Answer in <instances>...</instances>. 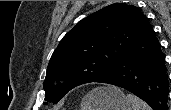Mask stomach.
<instances>
[{
  "instance_id": "1",
  "label": "stomach",
  "mask_w": 171,
  "mask_h": 110,
  "mask_svg": "<svg viewBox=\"0 0 171 110\" xmlns=\"http://www.w3.org/2000/svg\"><path fill=\"white\" fill-rule=\"evenodd\" d=\"M81 110H131V104L122 90L105 86L86 94L81 103Z\"/></svg>"
}]
</instances>
